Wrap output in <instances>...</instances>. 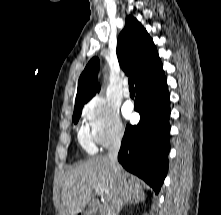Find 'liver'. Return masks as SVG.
<instances>
[{
  "label": "liver",
  "instance_id": "1",
  "mask_svg": "<svg viewBox=\"0 0 221 215\" xmlns=\"http://www.w3.org/2000/svg\"><path fill=\"white\" fill-rule=\"evenodd\" d=\"M118 188L128 195L145 194L139 180L129 178L120 167L116 176L107 156H99L80 163L68 171L62 183L60 215H74L82 211L90 202L93 191L104 197L108 204Z\"/></svg>",
  "mask_w": 221,
  "mask_h": 215
}]
</instances>
